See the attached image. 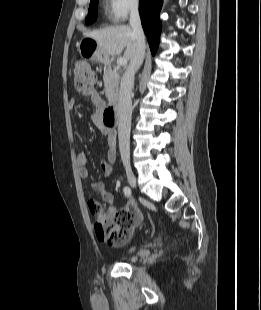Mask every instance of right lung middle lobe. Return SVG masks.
I'll return each instance as SVG.
<instances>
[{
	"label": "right lung middle lobe",
	"instance_id": "obj_1",
	"mask_svg": "<svg viewBox=\"0 0 261 310\" xmlns=\"http://www.w3.org/2000/svg\"><path fill=\"white\" fill-rule=\"evenodd\" d=\"M98 0H91L88 15L85 19L86 24L93 23L97 18Z\"/></svg>",
	"mask_w": 261,
	"mask_h": 310
}]
</instances>
